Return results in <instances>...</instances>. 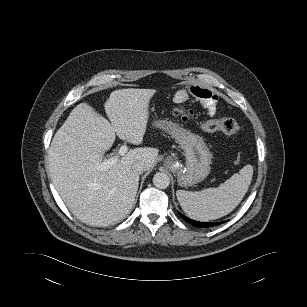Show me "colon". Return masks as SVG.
<instances>
[{
    "instance_id": "colon-1",
    "label": "colon",
    "mask_w": 307,
    "mask_h": 307,
    "mask_svg": "<svg viewBox=\"0 0 307 307\" xmlns=\"http://www.w3.org/2000/svg\"><path fill=\"white\" fill-rule=\"evenodd\" d=\"M174 114L184 121H191L193 118L192 113L182 105L174 108ZM200 128L204 132L220 131L228 135H239L243 130V126L233 118L211 119L201 123Z\"/></svg>"
}]
</instances>
